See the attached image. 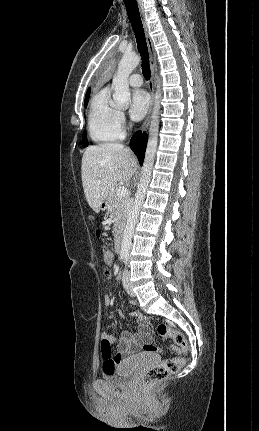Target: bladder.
<instances>
[{"instance_id":"bladder-1","label":"bladder","mask_w":259,"mask_h":431,"mask_svg":"<svg viewBox=\"0 0 259 431\" xmlns=\"http://www.w3.org/2000/svg\"><path fill=\"white\" fill-rule=\"evenodd\" d=\"M137 369V363L131 362L120 365L112 372L104 371L102 378L105 382L114 386H123L131 379Z\"/></svg>"}]
</instances>
